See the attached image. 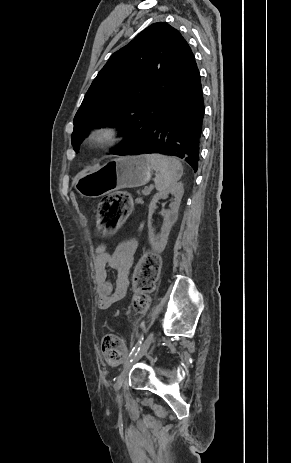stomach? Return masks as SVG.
<instances>
[{"label":"stomach","mask_w":291,"mask_h":463,"mask_svg":"<svg viewBox=\"0 0 291 463\" xmlns=\"http://www.w3.org/2000/svg\"><path fill=\"white\" fill-rule=\"evenodd\" d=\"M151 175L152 167L144 155L126 156L81 171L74 186L82 196L97 198L115 190L143 186Z\"/></svg>","instance_id":"1"}]
</instances>
